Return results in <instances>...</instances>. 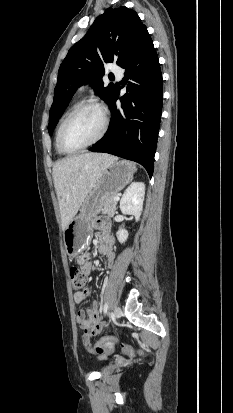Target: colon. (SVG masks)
<instances>
[{
    "instance_id": "5ec220e1",
    "label": "colon",
    "mask_w": 233,
    "mask_h": 413,
    "mask_svg": "<svg viewBox=\"0 0 233 413\" xmlns=\"http://www.w3.org/2000/svg\"><path fill=\"white\" fill-rule=\"evenodd\" d=\"M70 278L72 287L74 290L79 291L85 286V275L82 273L81 269L73 266L70 268ZM115 339L112 336H104L102 337L94 346H89L88 350L92 353H102L105 350H110L113 347ZM123 351L128 356H134L136 354V350L128 345H122Z\"/></svg>"
}]
</instances>
